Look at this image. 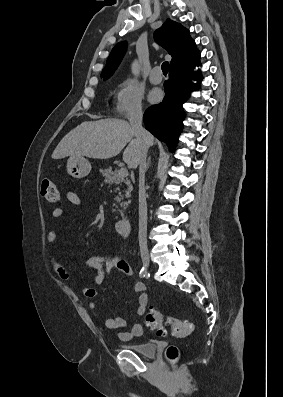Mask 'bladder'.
Listing matches in <instances>:
<instances>
[{"instance_id":"bladder-1","label":"bladder","mask_w":283,"mask_h":397,"mask_svg":"<svg viewBox=\"0 0 283 397\" xmlns=\"http://www.w3.org/2000/svg\"><path fill=\"white\" fill-rule=\"evenodd\" d=\"M157 341H149L141 344H133L126 346L127 349L147 357L154 356L158 350Z\"/></svg>"}]
</instances>
